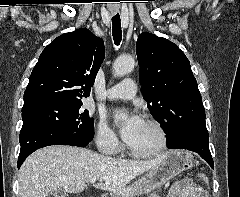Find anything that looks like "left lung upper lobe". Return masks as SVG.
Returning a JSON list of instances; mask_svg holds the SVG:
<instances>
[{
	"mask_svg": "<svg viewBox=\"0 0 240 197\" xmlns=\"http://www.w3.org/2000/svg\"><path fill=\"white\" fill-rule=\"evenodd\" d=\"M136 54L144 99L167 136L168 119L202 103L190 62L176 44L148 32L139 34Z\"/></svg>",
	"mask_w": 240,
	"mask_h": 197,
	"instance_id": "1",
	"label": "left lung upper lobe"
}]
</instances>
